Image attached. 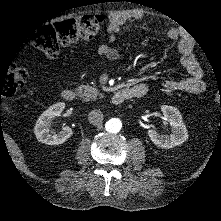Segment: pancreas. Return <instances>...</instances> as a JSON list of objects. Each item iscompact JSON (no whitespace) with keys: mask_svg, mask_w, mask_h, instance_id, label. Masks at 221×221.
Returning <instances> with one entry per match:
<instances>
[{"mask_svg":"<svg viewBox=\"0 0 221 221\" xmlns=\"http://www.w3.org/2000/svg\"><path fill=\"white\" fill-rule=\"evenodd\" d=\"M76 90L84 101L96 100L98 96L103 97V94L94 86L80 85Z\"/></svg>","mask_w":221,"mask_h":221,"instance_id":"cf45deb5","label":"pancreas"}]
</instances>
